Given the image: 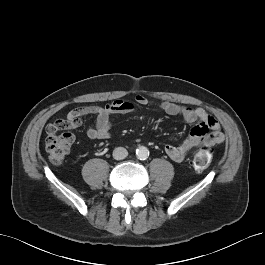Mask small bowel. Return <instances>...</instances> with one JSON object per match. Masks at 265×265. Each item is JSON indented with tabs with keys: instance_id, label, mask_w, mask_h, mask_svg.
<instances>
[{
	"instance_id": "c3829d8e",
	"label": "small bowel",
	"mask_w": 265,
	"mask_h": 265,
	"mask_svg": "<svg viewBox=\"0 0 265 265\" xmlns=\"http://www.w3.org/2000/svg\"><path fill=\"white\" fill-rule=\"evenodd\" d=\"M138 106H150L152 103L146 97L138 95L136 97ZM158 108L170 116H180L187 123L198 122L190 134L178 145L167 144L165 153L174 162H182L186 155L200 145H215L224 141V135L220 130L218 122L202 108H192L171 102H162ZM136 110V105L126 101H115L104 107L88 105L74 108L67 114V118L73 122V128L81 125L83 116L95 115L96 121L92 127L87 129V136L93 140L107 139L110 136L112 127V115H123ZM210 135L207 136V133Z\"/></svg>"
}]
</instances>
